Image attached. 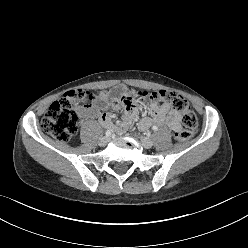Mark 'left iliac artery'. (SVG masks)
<instances>
[{"label": "left iliac artery", "instance_id": "44dca946", "mask_svg": "<svg viewBox=\"0 0 248 248\" xmlns=\"http://www.w3.org/2000/svg\"><path fill=\"white\" fill-rule=\"evenodd\" d=\"M152 129H153V131H157L158 130V127L157 126H153Z\"/></svg>", "mask_w": 248, "mask_h": 248}]
</instances>
